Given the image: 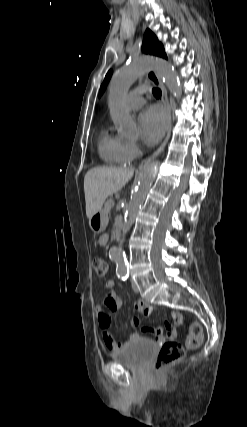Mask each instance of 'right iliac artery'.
Instances as JSON below:
<instances>
[{
    "label": "right iliac artery",
    "instance_id": "82829eb1",
    "mask_svg": "<svg viewBox=\"0 0 247 427\" xmlns=\"http://www.w3.org/2000/svg\"><path fill=\"white\" fill-rule=\"evenodd\" d=\"M128 278V275L126 274V275H121V279L122 280H126Z\"/></svg>",
    "mask_w": 247,
    "mask_h": 427
}]
</instances>
